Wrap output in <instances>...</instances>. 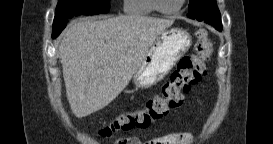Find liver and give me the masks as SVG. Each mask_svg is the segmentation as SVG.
Listing matches in <instances>:
<instances>
[{
	"label": "liver",
	"instance_id": "1",
	"mask_svg": "<svg viewBox=\"0 0 273 144\" xmlns=\"http://www.w3.org/2000/svg\"><path fill=\"white\" fill-rule=\"evenodd\" d=\"M173 22L140 15L72 21L63 32L59 57L73 114L86 117L111 103Z\"/></svg>",
	"mask_w": 273,
	"mask_h": 144
}]
</instances>
